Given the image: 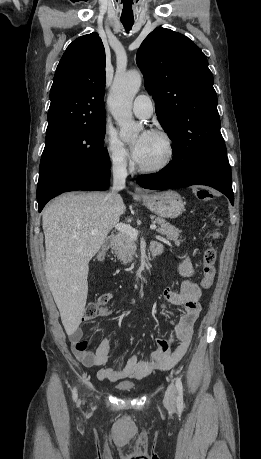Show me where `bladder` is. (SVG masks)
I'll list each match as a JSON object with an SVG mask.
<instances>
[{
	"instance_id": "31cf9c89",
	"label": "bladder",
	"mask_w": 261,
	"mask_h": 459,
	"mask_svg": "<svg viewBox=\"0 0 261 459\" xmlns=\"http://www.w3.org/2000/svg\"><path fill=\"white\" fill-rule=\"evenodd\" d=\"M116 387L121 391L129 392L135 389V384L132 382H121Z\"/></svg>"
}]
</instances>
